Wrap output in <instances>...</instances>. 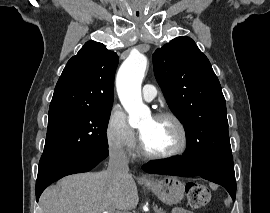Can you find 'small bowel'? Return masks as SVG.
<instances>
[{"label": "small bowel", "mask_w": 270, "mask_h": 213, "mask_svg": "<svg viewBox=\"0 0 270 213\" xmlns=\"http://www.w3.org/2000/svg\"><path fill=\"white\" fill-rule=\"evenodd\" d=\"M173 213H193V212L184 208H175Z\"/></svg>", "instance_id": "c3829d8e"}]
</instances>
